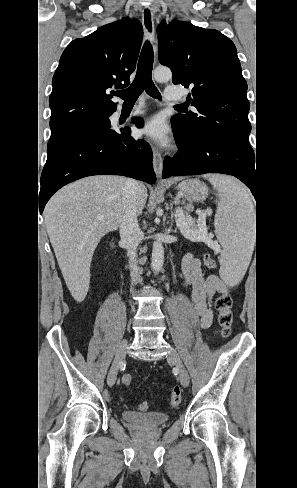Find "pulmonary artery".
<instances>
[{
	"label": "pulmonary artery",
	"mask_w": 297,
	"mask_h": 488,
	"mask_svg": "<svg viewBox=\"0 0 297 488\" xmlns=\"http://www.w3.org/2000/svg\"><path fill=\"white\" fill-rule=\"evenodd\" d=\"M165 98L169 101H181V94L177 90L168 87L165 89Z\"/></svg>",
	"instance_id": "1"
}]
</instances>
